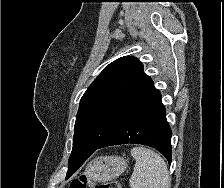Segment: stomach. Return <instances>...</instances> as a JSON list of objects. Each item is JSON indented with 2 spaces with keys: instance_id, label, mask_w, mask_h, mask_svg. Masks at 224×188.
<instances>
[{
  "instance_id": "stomach-1",
  "label": "stomach",
  "mask_w": 224,
  "mask_h": 188,
  "mask_svg": "<svg viewBox=\"0 0 224 188\" xmlns=\"http://www.w3.org/2000/svg\"><path fill=\"white\" fill-rule=\"evenodd\" d=\"M126 168L127 163L123 157L100 156L87 164L84 174L92 181H109L121 175Z\"/></svg>"
}]
</instances>
